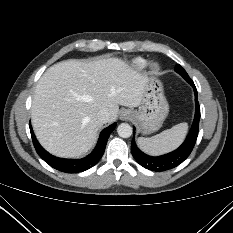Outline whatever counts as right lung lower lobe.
<instances>
[{
	"instance_id": "obj_1",
	"label": "right lung lower lobe",
	"mask_w": 233,
	"mask_h": 233,
	"mask_svg": "<svg viewBox=\"0 0 233 233\" xmlns=\"http://www.w3.org/2000/svg\"><path fill=\"white\" fill-rule=\"evenodd\" d=\"M116 123L105 128L99 137L95 149L83 159H63L52 156L49 154L36 140V137L33 133L32 127L30 125L31 137L33 140L34 147L38 155L51 167L65 173H77L85 171L90 167L94 166L100 158L103 156L107 140L111 132L115 129Z\"/></svg>"
}]
</instances>
